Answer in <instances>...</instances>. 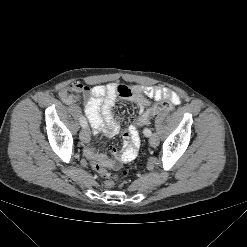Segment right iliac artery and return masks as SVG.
<instances>
[{
  "instance_id": "right-iliac-artery-1",
  "label": "right iliac artery",
  "mask_w": 247,
  "mask_h": 247,
  "mask_svg": "<svg viewBox=\"0 0 247 247\" xmlns=\"http://www.w3.org/2000/svg\"><path fill=\"white\" fill-rule=\"evenodd\" d=\"M80 124H81L82 127H88L86 118L84 116L80 117Z\"/></svg>"
}]
</instances>
